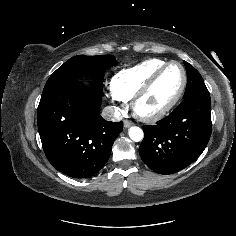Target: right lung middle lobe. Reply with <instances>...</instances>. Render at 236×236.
<instances>
[{"mask_svg":"<svg viewBox=\"0 0 236 236\" xmlns=\"http://www.w3.org/2000/svg\"><path fill=\"white\" fill-rule=\"evenodd\" d=\"M116 63L117 61L113 55L75 56L50 76L43 91L79 80L84 75H91L95 79V84L91 88L95 93L103 96V73Z\"/></svg>","mask_w":236,"mask_h":236,"instance_id":"obj_1","label":"right lung middle lobe"}]
</instances>
